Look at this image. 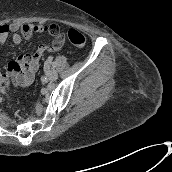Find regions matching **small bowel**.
Listing matches in <instances>:
<instances>
[{
  "mask_svg": "<svg viewBox=\"0 0 172 172\" xmlns=\"http://www.w3.org/2000/svg\"><path fill=\"white\" fill-rule=\"evenodd\" d=\"M25 26L30 27L34 25H21L19 23H13L10 25H0V45L6 44L10 37L14 44H21L23 39H29L31 34L35 31L46 32L43 30V27L53 26L58 28L55 24L37 26V30L31 31L30 36L25 37L22 33V30ZM62 47L63 40L61 38H56L49 44L40 45L34 54L21 56L16 61L11 62L9 64L10 70L12 72L17 71L19 75L18 84L21 86H26L28 83H30L33 79L35 71L39 66L41 58L47 53L56 52L60 50Z\"/></svg>",
  "mask_w": 172,
  "mask_h": 172,
  "instance_id": "obj_1",
  "label": "small bowel"
}]
</instances>
